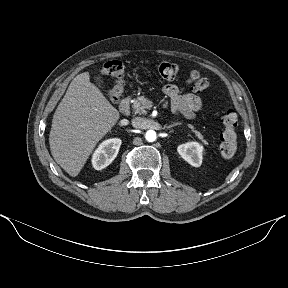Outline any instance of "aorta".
Instances as JSON below:
<instances>
[{
    "mask_svg": "<svg viewBox=\"0 0 288 288\" xmlns=\"http://www.w3.org/2000/svg\"><path fill=\"white\" fill-rule=\"evenodd\" d=\"M145 138L148 142L155 141L157 138L156 132L154 130H148L145 134Z\"/></svg>",
    "mask_w": 288,
    "mask_h": 288,
    "instance_id": "1",
    "label": "aorta"
}]
</instances>
